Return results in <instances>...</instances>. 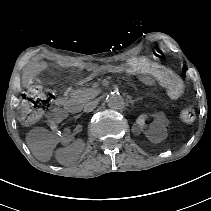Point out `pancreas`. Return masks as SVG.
<instances>
[{
	"label": "pancreas",
	"instance_id": "pancreas-1",
	"mask_svg": "<svg viewBox=\"0 0 211 211\" xmlns=\"http://www.w3.org/2000/svg\"><path fill=\"white\" fill-rule=\"evenodd\" d=\"M70 96L74 100H78L81 104L85 105L90 102L95 96L96 93L93 89H75L70 92Z\"/></svg>",
	"mask_w": 211,
	"mask_h": 211
}]
</instances>
